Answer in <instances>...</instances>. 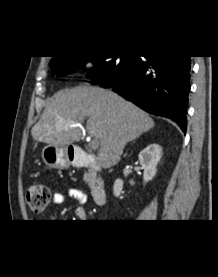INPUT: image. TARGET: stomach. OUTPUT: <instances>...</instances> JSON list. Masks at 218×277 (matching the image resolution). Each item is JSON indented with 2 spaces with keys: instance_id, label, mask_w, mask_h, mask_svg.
Listing matches in <instances>:
<instances>
[{
  "instance_id": "1",
  "label": "stomach",
  "mask_w": 218,
  "mask_h": 277,
  "mask_svg": "<svg viewBox=\"0 0 218 277\" xmlns=\"http://www.w3.org/2000/svg\"><path fill=\"white\" fill-rule=\"evenodd\" d=\"M42 158L50 168L64 169L70 165L67 149L63 146H45L42 150Z\"/></svg>"
}]
</instances>
